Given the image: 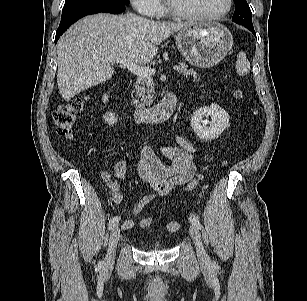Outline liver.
<instances>
[{"label": "liver", "instance_id": "1", "mask_svg": "<svg viewBox=\"0 0 307 301\" xmlns=\"http://www.w3.org/2000/svg\"><path fill=\"white\" fill-rule=\"evenodd\" d=\"M186 25L153 21L132 13L84 17L57 43L61 96L69 101L81 91L109 80L115 72L110 58H126L136 64L150 62L158 45Z\"/></svg>", "mask_w": 307, "mask_h": 301}]
</instances>
